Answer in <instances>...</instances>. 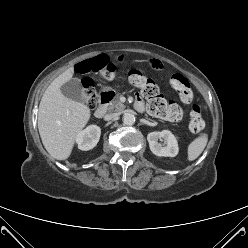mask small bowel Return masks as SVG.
Wrapping results in <instances>:
<instances>
[{
  "label": "small bowel",
  "mask_w": 248,
  "mask_h": 248,
  "mask_svg": "<svg viewBox=\"0 0 248 248\" xmlns=\"http://www.w3.org/2000/svg\"><path fill=\"white\" fill-rule=\"evenodd\" d=\"M137 103H139L140 105L139 106H136V107L139 110H143L144 109V105H143L142 101L141 100H137ZM179 119H180V113H179V115L176 118L170 119V120H179Z\"/></svg>",
  "instance_id": "c3829d8e"
}]
</instances>
